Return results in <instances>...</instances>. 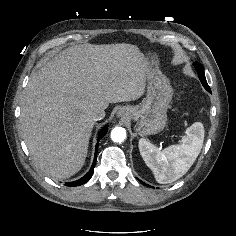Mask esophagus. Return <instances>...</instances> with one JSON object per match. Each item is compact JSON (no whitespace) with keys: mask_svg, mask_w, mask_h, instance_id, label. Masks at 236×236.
<instances>
[{"mask_svg":"<svg viewBox=\"0 0 236 236\" xmlns=\"http://www.w3.org/2000/svg\"><path fill=\"white\" fill-rule=\"evenodd\" d=\"M124 115H126V114H124V113L121 112V111L118 113V116H119V117H124Z\"/></svg>","mask_w":236,"mask_h":236,"instance_id":"1","label":"esophagus"}]
</instances>
